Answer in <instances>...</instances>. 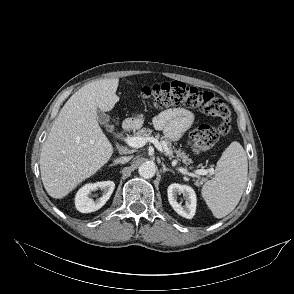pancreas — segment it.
I'll list each match as a JSON object with an SVG mask.
<instances>
[{"label": "pancreas", "mask_w": 294, "mask_h": 294, "mask_svg": "<svg viewBox=\"0 0 294 294\" xmlns=\"http://www.w3.org/2000/svg\"><path fill=\"white\" fill-rule=\"evenodd\" d=\"M135 135L137 137L143 138L152 137V130L149 128H142L138 132H136ZM155 137L156 139H160L161 144L168 149V151H166L165 153L170 158H173V153H175L177 158H179V160H181L184 164L189 165L192 162L191 159H189V157L186 155V153L184 151H181V149H176L169 139H166L164 136H160L159 134H156ZM195 184L199 186L202 184V181L197 180Z\"/></svg>", "instance_id": "1"}]
</instances>
